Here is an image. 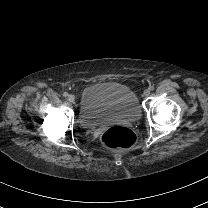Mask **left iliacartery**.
<instances>
[{"instance_id":"obj_1","label":"left iliac artery","mask_w":208,"mask_h":208,"mask_svg":"<svg viewBox=\"0 0 208 208\" xmlns=\"http://www.w3.org/2000/svg\"><path fill=\"white\" fill-rule=\"evenodd\" d=\"M149 90L153 91L154 90V86H149Z\"/></svg>"}]
</instances>
